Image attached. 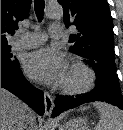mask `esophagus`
Here are the masks:
<instances>
[{"instance_id":"esophagus-1","label":"esophagus","mask_w":123,"mask_h":130,"mask_svg":"<svg viewBox=\"0 0 123 130\" xmlns=\"http://www.w3.org/2000/svg\"><path fill=\"white\" fill-rule=\"evenodd\" d=\"M44 105H45V116L50 117L53 110L54 101L53 97L48 92H44Z\"/></svg>"}]
</instances>
